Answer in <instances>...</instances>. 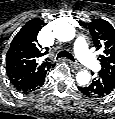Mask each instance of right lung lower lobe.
Masks as SVG:
<instances>
[{
  "label": "right lung lower lobe",
  "mask_w": 115,
  "mask_h": 119,
  "mask_svg": "<svg viewBox=\"0 0 115 119\" xmlns=\"http://www.w3.org/2000/svg\"><path fill=\"white\" fill-rule=\"evenodd\" d=\"M45 76H46V74H44L43 76L34 80L33 82L16 87V89H18L19 91H22L23 93H29V92L35 91V90L39 89L40 86H42L44 84Z\"/></svg>",
  "instance_id": "obj_1"
}]
</instances>
